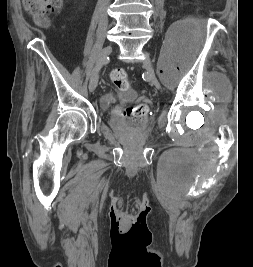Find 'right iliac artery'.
<instances>
[{
	"label": "right iliac artery",
	"instance_id": "1",
	"mask_svg": "<svg viewBox=\"0 0 253 267\" xmlns=\"http://www.w3.org/2000/svg\"><path fill=\"white\" fill-rule=\"evenodd\" d=\"M101 65H102V64H100L99 66H98V65L95 66V68H94L93 71H92V75H93V73H94V71H95V69H96L97 67H99V69H100Z\"/></svg>",
	"mask_w": 253,
	"mask_h": 267
}]
</instances>
